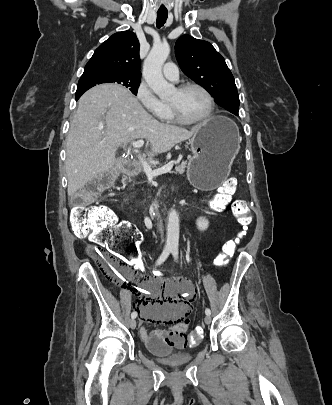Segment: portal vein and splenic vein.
Returning a JSON list of instances; mask_svg holds the SVG:
<instances>
[{
  "label": "portal vein and splenic vein",
  "instance_id": "portal-vein-and-splenic-vein-1",
  "mask_svg": "<svg viewBox=\"0 0 332 405\" xmlns=\"http://www.w3.org/2000/svg\"><path fill=\"white\" fill-rule=\"evenodd\" d=\"M144 145V140L143 139H140V140H137V141H134V142H132V146H133V148H140V147H142ZM140 161H141V163H142V166H143V170H144V172H145V174H146V176H147V178L150 180V179H153V177H155V176H159V175H162V174H164V173H166L169 169H171L172 167H173V165H174V162H172V163H170L169 165H167V166H163V167H161V168H158V169H155V170H152V168H151V166L140 156ZM176 163V162H175Z\"/></svg>",
  "mask_w": 332,
  "mask_h": 405
}]
</instances>
